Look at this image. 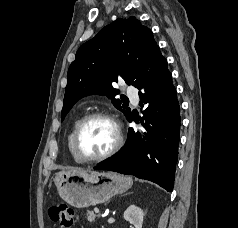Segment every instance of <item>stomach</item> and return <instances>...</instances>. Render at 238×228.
<instances>
[{
  "label": "stomach",
  "instance_id": "0dacf381",
  "mask_svg": "<svg viewBox=\"0 0 238 228\" xmlns=\"http://www.w3.org/2000/svg\"><path fill=\"white\" fill-rule=\"evenodd\" d=\"M54 183L60 197L76 208L95 206L108 201L132 186V178L114 172L56 173Z\"/></svg>",
  "mask_w": 238,
  "mask_h": 228
}]
</instances>
